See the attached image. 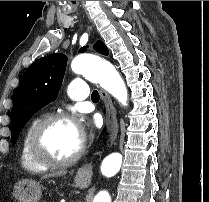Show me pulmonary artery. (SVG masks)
Returning <instances> with one entry per match:
<instances>
[{"label":"pulmonary artery","instance_id":"1","mask_svg":"<svg viewBox=\"0 0 209 202\" xmlns=\"http://www.w3.org/2000/svg\"><path fill=\"white\" fill-rule=\"evenodd\" d=\"M67 89L72 99L84 100L88 96L87 81L83 78L75 79L67 85Z\"/></svg>","mask_w":209,"mask_h":202}]
</instances>
